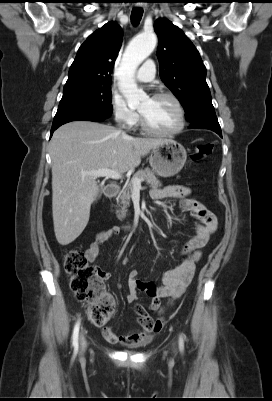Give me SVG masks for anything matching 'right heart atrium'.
<instances>
[{
	"instance_id": "right-heart-atrium-1",
	"label": "right heart atrium",
	"mask_w": 272,
	"mask_h": 401,
	"mask_svg": "<svg viewBox=\"0 0 272 401\" xmlns=\"http://www.w3.org/2000/svg\"><path fill=\"white\" fill-rule=\"evenodd\" d=\"M110 107L115 120L125 128H132L138 121V114L132 110L116 92L110 95Z\"/></svg>"
}]
</instances>
